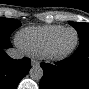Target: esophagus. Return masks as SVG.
<instances>
[{"label": "esophagus", "instance_id": "obj_1", "mask_svg": "<svg viewBox=\"0 0 89 89\" xmlns=\"http://www.w3.org/2000/svg\"><path fill=\"white\" fill-rule=\"evenodd\" d=\"M31 65L34 66H39V62L37 60L32 59L31 60Z\"/></svg>", "mask_w": 89, "mask_h": 89}]
</instances>
